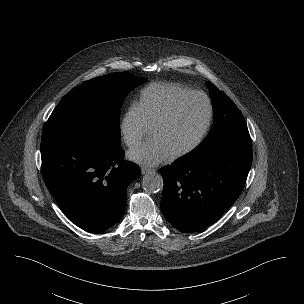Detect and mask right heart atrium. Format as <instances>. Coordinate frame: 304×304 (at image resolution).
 I'll use <instances>...</instances> for the list:
<instances>
[{
  "label": "right heart atrium",
  "mask_w": 304,
  "mask_h": 304,
  "mask_svg": "<svg viewBox=\"0 0 304 304\" xmlns=\"http://www.w3.org/2000/svg\"><path fill=\"white\" fill-rule=\"evenodd\" d=\"M150 127L146 123L136 102L126 109L119 123V131L125 145L132 148L148 134Z\"/></svg>",
  "instance_id": "d8ad5b80"
}]
</instances>
